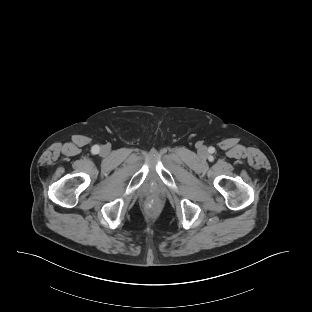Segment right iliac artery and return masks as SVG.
Listing matches in <instances>:
<instances>
[{"label":"right iliac artery","instance_id":"1","mask_svg":"<svg viewBox=\"0 0 312 312\" xmlns=\"http://www.w3.org/2000/svg\"><path fill=\"white\" fill-rule=\"evenodd\" d=\"M100 150V147L98 145L93 146L92 151L93 153H98Z\"/></svg>","mask_w":312,"mask_h":312}]
</instances>
